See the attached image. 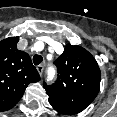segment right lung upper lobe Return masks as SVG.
I'll return each instance as SVG.
<instances>
[{
	"instance_id": "right-lung-upper-lobe-1",
	"label": "right lung upper lobe",
	"mask_w": 117,
	"mask_h": 117,
	"mask_svg": "<svg viewBox=\"0 0 117 117\" xmlns=\"http://www.w3.org/2000/svg\"><path fill=\"white\" fill-rule=\"evenodd\" d=\"M19 37L0 41V111L13 108L29 83L40 76L29 55L17 49Z\"/></svg>"
}]
</instances>
